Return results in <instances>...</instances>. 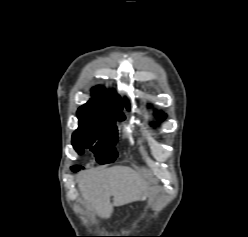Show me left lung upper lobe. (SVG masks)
<instances>
[{
    "instance_id": "1",
    "label": "left lung upper lobe",
    "mask_w": 248,
    "mask_h": 237,
    "mask_svg": "<svg viewBox=\"0 0 248 237\" xmlns=\"http://www.w3.org/2000/svg\"><path fill=\"white\" fill-rule=\"evenodd\" d=\"M127 107H128V105H127ZM158 116H159V119L160 120H163L164 119V115L162 113H158Z\"/></svg>"
}]
</instances>
